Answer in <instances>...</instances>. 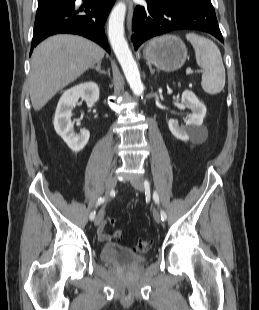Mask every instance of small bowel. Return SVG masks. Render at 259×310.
I'll return each mask as SVG.
<instances>
[{"label": "small bowel", "instance_id": "c3829d8e", "mask_svg": "<svg viewBox=\"0 0 259 310\" xmlns=\"http://www.w3.org/2000/svg\"><path fill=\"white\" fill-rule=\"evenodd\" d=\"M98 239L106 244H111V236L106 233L105 223H100L97 230Z\"/></svg>", "mask_w": 259, "mask_h": 310}]
</instances>
